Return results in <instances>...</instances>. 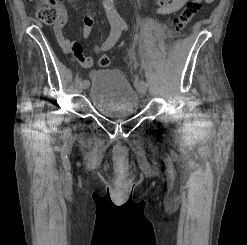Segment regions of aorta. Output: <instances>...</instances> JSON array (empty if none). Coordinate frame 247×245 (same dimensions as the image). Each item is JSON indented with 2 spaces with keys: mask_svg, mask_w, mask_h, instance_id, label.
Instances as JSON below:
<instances>
[{
  "mask_svg": "<svg viewBox=\"0 0 247 245\" xmlns=\"http://www.w3.org/2000/svg\"><path fill=\"white\" fill-rule=\"evenodd\" d=\"M106 12L110 24L121 25L123 23L122 18L120 17V15L118 14V12L114 7L113 0H106Z\"/></svg>",
  "mask_w": 247,
  "mask_h": 245,
  "instance_id": "762f6f07",
  "label": "aorta"
}]
</instances>
